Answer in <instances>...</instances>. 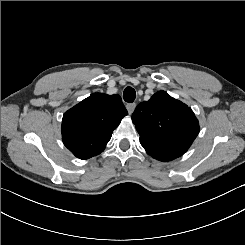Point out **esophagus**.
<instances>
[{
    "mask_svg": "<svg viewBox=\"0 0 245 245\" xmlns=\"http://www.w3.org/2000/svg\"><path fill=\"white\" fill-rule=\"evenodd\" d=\"M135 106H136L135 103H128L127 104L126 108H127L129 114L133 113Z\"/></svg>",
    "mask_w": 245,
    "mask_h": 245,
    "instance_id": "esophagus-1",
    "label": "esophagus"
}]
</instances>
